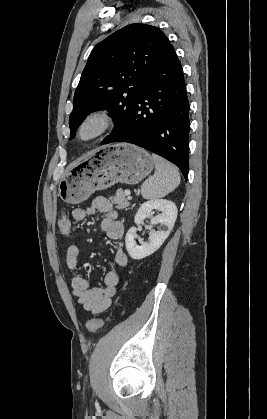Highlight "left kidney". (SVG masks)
<instances>
[{
    "instance_id": "5707ae66",
    "label": "left kidney",
    "mask_w": 267,
    "mask_h": 419,
    "mask_svg": "<svg viewBox=\"0 0 267 419\" xmlns=\"http://www.w3.org/2000/svg\"><path fill=\"white\" fill-rule=\"evenodd\" d=\"M153 210L161 211V214L152 217L150 224L152 226L160 224L161 229L149 232V242L141 243L140 246L137 245L135 241L137 237L135 227H131L125 236L126 249L134 260L143 259L157 251L173 229L177 218V207L174 202L166 199H154L144 202L135 215V224H140L145 218L150 217Z\"/></svg>"
}]
</instances>
